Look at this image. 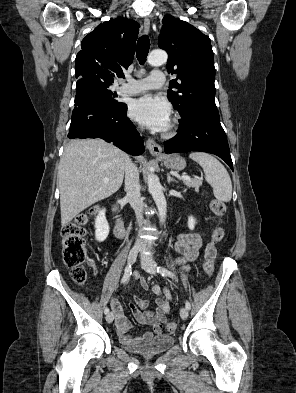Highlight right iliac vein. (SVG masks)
Returning <instances> with one entry per match:
<instances>
[{
	"instance_id": "1",
	"label": "right iliac vein",
	"mask_w": 296,
	"mask_h": 393,
	"mask_svg": "<svg viewBox=\"0 0 296 393\" xmlns=\"http://www.w3.org/2000/svg\"><path fill=\"white\" fill-rule=\"evenodd\" d=\"M139 248L138 247H134L130 250L129 255H128V264L131 265L136 261L138 252H139ZM114 320V314L113 312H110L106 315V321L107 323H112Z\"/></svg>"
}]
</instances>
